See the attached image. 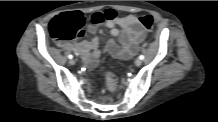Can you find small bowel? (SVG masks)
Returning <instances> with one entry per match:
<instances>
[{
	"mask_svg": "<svg viewBox=\"0 0 218 122\" xmlns=\"http://www.w3.org/2000/svg\"><path fill=\"white\" fill-rule=\"evenodd\" d=\"M105 26L111 30L113 37H119V43L110 38L106 42L105 51L119 59H128L133 56L146 35V28L138 17L134 15L118 16L114 7H105L102 12L92 13L88 32L94 34L98 28ZM118 27L122 30L120 31ZM68 47L76 54L81 55L87 67L93 68L97 65L101 54L98 37H94L90 41L72 42L68 44Z\"/></svg>",
	"mask_w": 218,
	"mask_h": 122,
	"instance_id": "small-bowel-1",
	"label": "small bowel"
}]
</instances>
